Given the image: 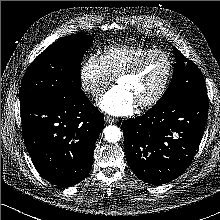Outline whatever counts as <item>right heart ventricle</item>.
<instances>
[{
  "instance_id": "1",
  "label": "right heart ventricle",
  "mask_w": 220,
  "mask_h": 220,
  "mask_svg": "<svg viewBox=\"0 0 220 220\" xmlns=\"http://www.w3.org/2000/svg\"><path fill=\"white\" fill-rule=\"evenodd\" d=\"M155 50L149 46L121 44L103 49L101 59L111 77H116L143 54Z\"/></svg>"
}]
</instances>
